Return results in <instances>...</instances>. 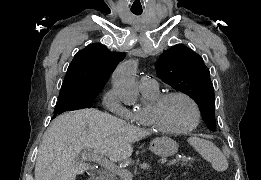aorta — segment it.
<instances>
[{"mask_svg":"<svg viewBox=\"0 0 261 180\" xmlns=\"http://www.w3.org/2000/svg\"><path fill=\"white\" fill-rule=\"evenodd\" d=\"M136 70L137 61L127 60L119 64L112 75L113 87L126 105H135L138 100Z\"/></svg>","mask_w":261,"mask_h":180,"instance_id":"762f6f07","label":"aorta"}]
</instances>
